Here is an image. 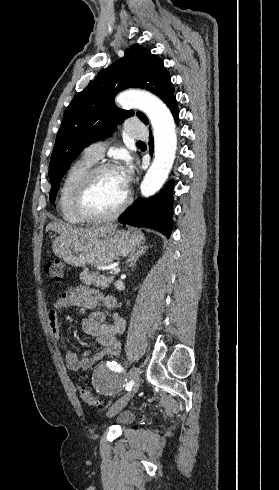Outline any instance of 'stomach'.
<instances>
[{"mask_svg":"<svg viewBox=\"0 0 279 490\" xmlns=\"http://www.w3.org/2000/svg\"><path fill=\"white\" fill-rule=\"evenodd\" d=\"M144 242L145 236L136 228H128V230L112 228L103 236L91 238L89 242L68 240L58 236L52 242V250L57 258H61L63 262L74 268L110 266L118 256H128Z\"/></svg>","mask_w":279,"mask_h":490,"instance_id":"stomach-1","label":"stomach"}]
</instances>
